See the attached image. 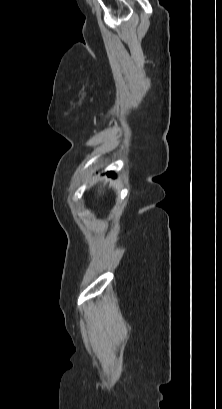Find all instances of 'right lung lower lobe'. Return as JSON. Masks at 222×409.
Here are the masks:
<instances>
[{
    "mask_svg": "<svg viewBox=\"0 0 222 409\" xmlns=\"http://www.w3.org/2000/svg\"><path fill=\"white\" fill-rule=\"evenodd\" d=\"M107 174H108L109 176H113V175H114L113 172H108Z\"/></svg>",
    "mask_w": 222,
    "mask_h": 409,
    "instance_id": "1",
    "label": "right lung lower lobe"
}]
</instances>
